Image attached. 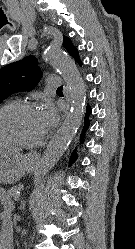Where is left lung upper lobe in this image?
Returning <instances> with one entry per match:
<instances>
[{
    "label": "left lung upper lobe",
    "mask_w": 135,
    "mask_h": 249,
    "mask_svg": "<svg viewBox=\"0 0 135 249\" xmlns=\"http://www.w3.org/2000/svg\"><path fill=\"white\" fill-rule=\"evenodd\" d=\"M63 45L75 62L82 64L77 48L72 41L63 36ZM41 71L34 56H27L20 61L10 63L0 69V103L10 95L34 88L40 78Z\"/></svg>",
    "instance_id": "obj_1"
}]
</instances>
